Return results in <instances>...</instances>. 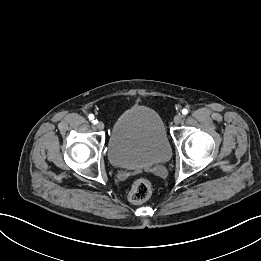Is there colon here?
I'll list each match as a JSON object with an SVG mask.
<instances>
[{"instance_id": "colon-1", "label": "colon", "mask_w": 261, "mask_h": 261, "mask_svg": "<svg viewBox=\"0 0 261 261\" xmlns=\"http://www.w3.org/2000/svg\"><path fill=\"white\" fill-rule=\"evenodd\" d=\"M151 194V185L146 178H137L131 185L128 197L133 203L146 201Z\"/></svg>"}]
</instances>
